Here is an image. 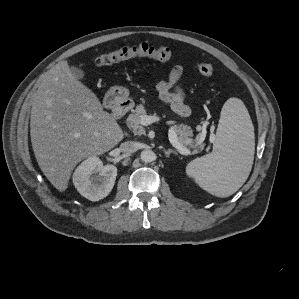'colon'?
I'll list each match as a JSON object with an SVG mask.
<instances>
[{
  "label": "colon",
  "instance_id": "1",
  "mask_svg": "<svg viewBox=\"0 0 299 299\" xmlns=\"http://www.w3.org/2000/svg\"><path fill=\"white\" fill-rule=\"evenodd\" d=\"M173 55V49L169 46H153L146 42L136 45L123 46L115 51L102 54L95 59L98 67L110 66L137 57H148L157 61H169ZM198 72L206 77L214 74V65L208 61H202L197 65Z\"/></svg>",
  "mask_w": 299,
  "mask_h": 299
}]
</instances>
